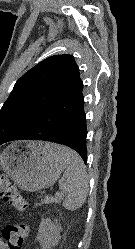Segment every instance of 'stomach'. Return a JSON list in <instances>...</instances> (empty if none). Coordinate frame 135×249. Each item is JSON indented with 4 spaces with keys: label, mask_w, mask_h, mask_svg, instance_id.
<instances>
[{
    "label": "stomach",
    "mask_w": 135,
    "mask_h": 249,
    "mask_svg": "<svg viewBox=\"0 0 135 249\" xmlns=\"http://www.w3.org/2000/svg\"><path fill=\"white\" fill-rule=\"evenodd\" d=\"M0 166L24 191L34 192L53 185L66 167L53 144L17 142L0 153Z\"/></svg>",
    "instance_id": "stomach-1"
}]
</instances>
